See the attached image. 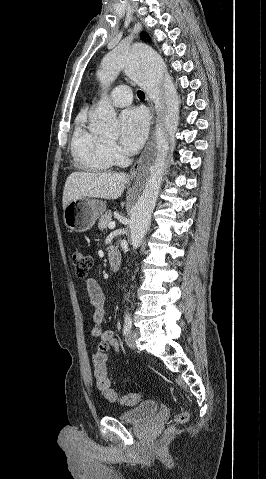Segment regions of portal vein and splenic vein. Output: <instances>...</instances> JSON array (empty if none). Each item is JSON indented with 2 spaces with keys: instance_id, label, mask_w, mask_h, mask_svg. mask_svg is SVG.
<instances>
[{
  "instance_id": "18ae733b",
  "label": "portal vein and splenic vein",
  "mask_w": 266,
  "mask_h": 479,
  "mask_svg": "<svg viewBox=\"0 0 266 479\" xmlns=\"http://www.w3.org/2000/svg\"><path fill=\"white\" fill-rule=\"evenodd\" d=\"M108 227H109L110 229H114V228H115V222H110V223L108 224Z\"/></svg>"
}]
</instances>
